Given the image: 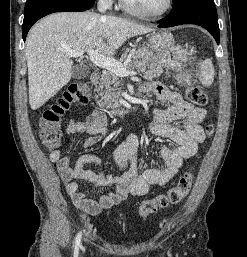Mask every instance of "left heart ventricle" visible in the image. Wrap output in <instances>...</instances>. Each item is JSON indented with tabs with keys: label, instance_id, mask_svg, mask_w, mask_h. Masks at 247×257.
Returning a JSON list of instances; mask_svg holds the SVG:
<instances>
[{
	"label": "left heart ventricle",
	"instance_id": "left-heart-ventricle-1",
	"mask_svg": "<svg viewBox=\"0 0 247 257\" xmlns=\"http://www.w3.org/2000/svg\"><path fill=\"white\" fill-rule=\"evenodd\" d=\"M134 8L149 12L155 13L163 9L165 6L166 0H126Z\"/></svg>",
	"mask_w": 247,
	"mask_h": 257
}]
</instances>
